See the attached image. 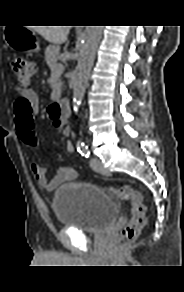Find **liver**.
<instances>
[{"label":"liver","mask_w":184,"mask_h":292,"mask_svg":"<svg viewBox=\"0 0 184 292\" xmlns=\"http://www.w3.org/2000/svg\"><path fill=\"white\" fill-rule=\"evenodd\" d=\"M71 26H36L33 28L46 41L53 44H62L67 41Z\"/></svg>","instance_id":"1"}]
</instances>
